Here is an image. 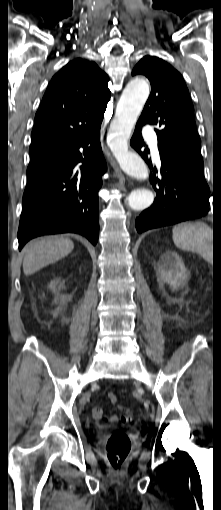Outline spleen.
Returning a JSON list of instances; mask_svg holds the SVG:
<instances>
[{
  "label": "spleen",
  "mask_w": 221,
  "mask_h": 510,
  "mask_svg": "<svg viewBox=\"0 0 221 510\" xmlns=\"http://www.w3.org/2000/svg\"><path fill=\"white\" fill-rule=\"evenodd\" d=\"M174 244L185 251L198 253L204 259L211 261L213 250L212 229L202 222L180 223L173 227Z\"/></svg>",
  "instance_id": "spleen-1"
}]
</instances>
